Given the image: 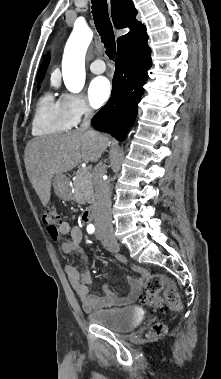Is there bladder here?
<instances>
[{"label":"bladder","instance_id":"obj_1","mask_svg":"<svg viewBox=\"0 0 221 379\" xmlns=\"http://www.w3.org/2000/svg\"><path fill=\"white\" fill-rule=\"evenodd\" d=\"M87 319L89 322L113 332L125 333L138 326L143 315L133 307L106 308L89 312Z\"/></svg>","mask_w":221,"mask_h":379}]
</instances>
